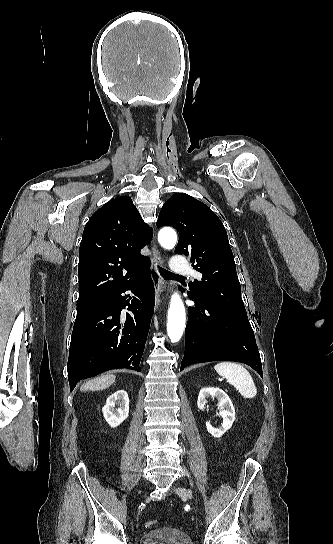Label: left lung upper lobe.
I'll use <instances>...</instances> for the list:
<instances>
[{"label": "left lung upper lobe", "mask_w": 333, "mask_h": 544, "mask_svg": "<svg viewBox=\"0 0 333 544\" xmlns=\"http://www.w3.org/2000/svg\"><path fill=\"white\" fill-rule=\"evenodd\" d=\"M169 225L180 234L175 253L191 254L194 269L202 281L189 283L188 293L196 299L241 320L248 316L241 299V287L226 230L219 217L204 203L178 193L163 205L157 226Z\"/></svg>", "instance_id": "obj_1"}]
</instances>
